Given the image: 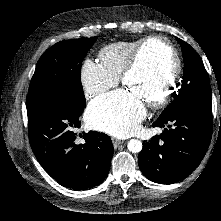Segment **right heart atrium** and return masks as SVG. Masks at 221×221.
Listing matches in <instances>:
<instances>
[{
  "label": "right heart atrium",
  "instance_id": "1",
  "mask_svg": "<svg viewBox=\"0 0 221 221\" xmlns=\"http://www.w3.org/2000/svg\"><path fill=\"white\" fill-rule=\"evenodd\" d=\"M81 82L87 97L94 98L118 83V78L106 74L99 63L86 60L81 67Z\"/></svg>",
  "mask_w": 221,
  "mask_h": 221
}]
</instances>
